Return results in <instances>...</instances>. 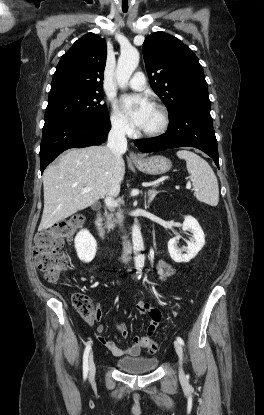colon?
<instances>
[{"instance_id": "colon-1", "label": "colon", "mask_w": 264, "mask_h": 415, "mask_svg": "<svg viewBox=\"0 0 264 415\" xmlns=\"http://www.w3.org/2000/svg\"><path fill=\"white\" fill-rule=\"evenodd\" d=\"M82 223V216L75 214L54 227L36 234L35 262L48 282H55L68 269L61 250L65 242L72 238ZM72 303L76 311L86 321L92 322L100 318V310L87 293H74ZM142 342L149 354H155L159 349L157 342L149 336L142 337Z\"/></svg>"}]
</instances>
